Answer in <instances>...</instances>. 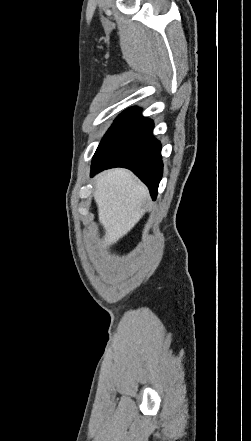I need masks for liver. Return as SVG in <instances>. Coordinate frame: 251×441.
Masks as SVG:
<instances>
[{"label": "liver", "instance_id": "liver-1", "mask_svg": "<svg viewBox=\"0 0 251 441\" xmlns=\"http://www.w3.org/2000/svg\"><path fill=\"white\" fill-rule=\"evenodd\" d=\"M147 196L146 186L126 169H111L96 177L93 197L105 230V245L116 243L138 223Z\"/></svg>", "mask_w": 251, "mask_h": 441}]
</instances>
